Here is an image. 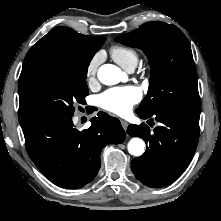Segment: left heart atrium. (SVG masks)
Returning <instances> with one entry per match:
<instances>
[{
    "label": "left heart atrium",
    "instance_id": "obj_1",
    "mask_svg": "<svg viewBox=\"0 0 221 221\" xmlns=\"http://www.w3.org/2000/svg\"><path fill=\"white\" fill-rule=\"evenodd\" d=\"M141 99V92L135 86L114 87L102 93L98 102L103 109L117 114L125 115Z\"/></svg>",
    "mask_w": 221,
    "mask_h": 221
}]
</instances>
